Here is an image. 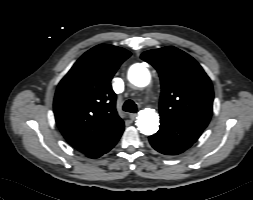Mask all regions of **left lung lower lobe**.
<instances>
[{
	"label": "left lung lower lobe",
	"mask_w": 253,
	"mask_h": 200,
	"mask_svg": "<svg viewBox=\"0 0 253 200\" xmlns=\"http://www.w3.org/2000/svg\"><path fill=\"white\" fill-rule=\"evenodd\" d=\"M203 130L160 117V129L149 137L151 146L165 155H177L192 146Z\"/></svg>",
	"instance_id": "1"
}]
</instances>
